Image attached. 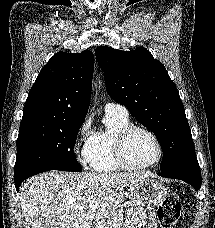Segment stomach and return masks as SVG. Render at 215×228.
I'll return each instance as SVG.
<instances>
[{
	"mask_svg": "<svg viewBox=\"0 0 215 228\" xmlns=\"http://www.w3.org/2000/svg\"><path fill=\"white\" fill-rule=\"evenodd\" d=\"M131 196H134L137 202H144L150 206H160L168 196V188L159 180L153 178H143L133 186H130ZM147 228H157L156 214L154 210L149 212Z\"/></svg>",
	"mask_w": 215,
	"mask_h": 228,
	"instance_id": "1",
	"label": "stomach"
}]
</instances>
